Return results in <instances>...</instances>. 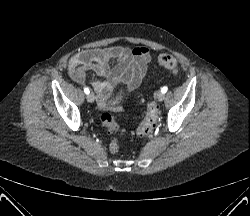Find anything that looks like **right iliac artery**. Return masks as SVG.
Listing matches in <instances>:
<instances>
[{
  "instance_id": "1",
  "label": "right iliac artery",
  "mask_w": 250,
  "mask_h": 216,
  "mask_svg": "<svg viewBox=\"0 0 250 216\" xmlns=\"http://www.w3.org/2000/svg\"><path fill=\"white\" fill-rule=\"evenodd\" d=\"M84 92H85L86 94H89L90 91H89L88 88L85 87V88H84Z\"/></svg>"
}]
</instances>
